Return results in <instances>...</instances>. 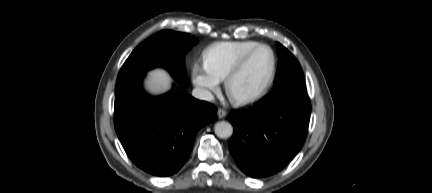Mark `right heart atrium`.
Wrapping results in <instances>:
<instances>
[{"mask_svg":"<svg viewBox=\"0 0 432 193\" xmlns=\"http://www.w3.org/2000/svg\"><path fill=\"white\" fill-rule=\"evenodd\" d=\"M192 82L205 97L219 91V81L210 74L205 65L195 62L191 70Z\"/></svg>","mask_w":432,"mask_h":193,"instance_id":"1","label":"right heart atrium"}]
</instances>
